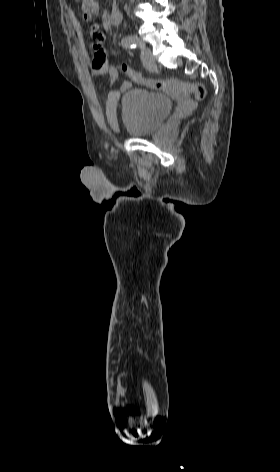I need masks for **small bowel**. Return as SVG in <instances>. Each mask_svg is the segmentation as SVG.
Listing matches in <instances>:
<instances>
[{
	"mask_svg": "<svg viewBox=\"0 0 280 472\" xmlns=\"http://www.w3.org/2000/svg\"><path fill=\"white\" fill-rule=\"evenodd\" d=\"M89 34L92 39L93 50V57L91 60L92 75L97 76L107 74L110 78V82L114 83L118 77V70L107 59V54L104 48V33L99 26L93 25L90 28ZM128 86L129 83L126 81L123 83L121 90H111L108 94L106 110L107 116L111 122L114 121L120 93L124 92Z\"/></svg>",
	"mask_w": 280,
	"mask_h": 472,
	"instance_id": "c3829d8e",
	"label": "small bowel"
}]
</instances>
